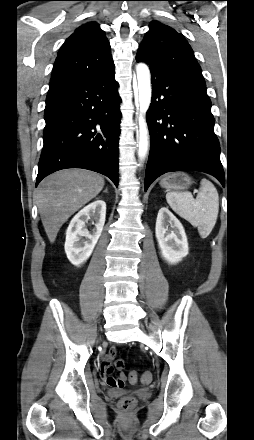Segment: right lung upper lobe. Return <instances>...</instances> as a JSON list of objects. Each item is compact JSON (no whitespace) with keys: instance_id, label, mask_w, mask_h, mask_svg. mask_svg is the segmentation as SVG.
Wrapping results in <instances>:
<instances>
[{"instance_id":"1","label":"right lung upper lobe","mask_w":254,"mask_h":440,"mask_svg":"<svg viewBox=\"0 0 254 440\" xmlns=\"http://www.w3.org/2000/svg\"><path fill=\"white\" fill-rule=\"evenodd\" d=\"M114 67L110 44L96 22L86 23L66 39L52 72L50 87L104 73Z\"/></svg>"}]
</instances>
